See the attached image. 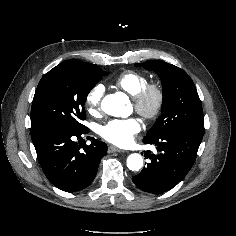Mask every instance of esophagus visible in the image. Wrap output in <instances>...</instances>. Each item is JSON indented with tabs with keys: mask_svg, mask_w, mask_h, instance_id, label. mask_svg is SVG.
Instances as JSON below:
<instances>
[{
	"mask_svg": "<svg viewBox=\"0 0 236 236\" xmlns=\"http://www.w3.org/2000/svg\"><path fill=\"white\" fill-rule=\"evenodd\" d=\"M114 152H125L124 150H121L113 145H110L108 147V153H114Z\"/></svg>",
	"mask_w": 236,
	"mask_h": 236,
	"instance_id": "obj_1",
	"label": "esophagus"
}]
</instances>
